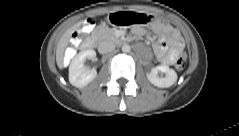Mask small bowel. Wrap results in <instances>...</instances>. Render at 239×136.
<instances>
[{
  "instance_id": "c3829d8e",
  "label": "small bowel",
  "mask_w": 239,
  "mask_h": 136,
  "mask_svg": "<svg viewBox=\"0 0 239 136\" xmlns=\"http://www.w3.org/2000/svg\"><path fill=\"white\" fill-rule=\"evenodd\" d=\"M154 28L159 29L162 28L160 23H155ZM164 29L169 33L171 37L172 46L168 48V44L164 38H161L158 43L155 45V53L157 59L165 64L172 65L181 57V47L182 40L178 33L174 31L170 26L164 27ZM134 35H141L143 30L141 28H134L132 30Z\"/></svg>"
}]
</instances>
